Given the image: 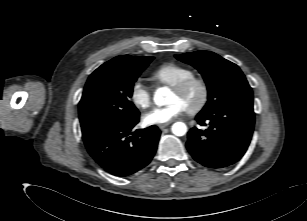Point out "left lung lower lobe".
I'll return each instance as SVG.
<instances>
[{
	"mask_svg": "<svg viewBox=\"0 0 307 221\" xmlns=\"http://www.w3.org/2000/svg\"><path fill=\"white\" fill-rule=\"evenodd\" d=\"M199 125L188 132L186 147L192 157L209 168H225L242 158L253 133V105H230L220 110L199 113Z\"/></svg>",
	"mask_w": 307,
	"mask_h": 221,
	"instance_id": "1",
	"label": "left lung lower lobe"
}]
</instances>
